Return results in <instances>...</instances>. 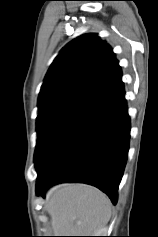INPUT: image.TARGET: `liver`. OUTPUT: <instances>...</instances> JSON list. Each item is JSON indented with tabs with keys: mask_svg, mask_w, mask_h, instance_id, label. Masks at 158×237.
I'll return each instance as SVG.
<instances>
[{
	"mask_svg": "<svg viewBox=\"0 0 158 237\" xmlns=\"http://www.w3.org/2000/svg\"><path fill=\"white\" fill-rule=\"evenodd\" d=\"M45 208L54 236H91L111 217L109 198L85 184L52 187L46 194Z\"/></svg>",
	"mask_w": 158,
	"mask_h": 237,
	"instance_id": "liver-1",
	"label": "liver"
}]
</instances>
